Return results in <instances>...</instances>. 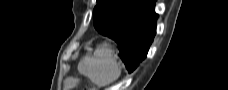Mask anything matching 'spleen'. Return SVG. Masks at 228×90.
Listing matches in <instances>:
<instances>
[{
    "label": "spleen",
    "mask_w": 228,
    "mask_h": 90,
    "mask_svg": "<svg viewBox=\"0 0 228 90\" xmlns=\"http://www.w3.org/2000/svg\"><path fill=\"white\" fill-rule=\"evenodd\" d=\"M80 72L98 87H104L119 78L121 67L114 58L113 50L104 45L97 48L92 57L84 60Z\"/></svg>",
    "instance_id": "1"
}]
</instances>
